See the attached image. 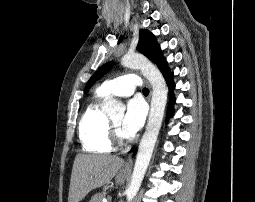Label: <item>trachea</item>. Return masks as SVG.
Here are the masks:
<instances>
[{
	"label": "trachea",
	"instance_id": "1",
	"mask_svg": "<svg viewBox=\"0 0 255 202\" xmlns=\"http://www.w3.org/2000/svg\"><path fill=\"white\" fill-rule=\"evenodd\" d=\"M143 93H144V94H148V93H149V89H148V88H144V89H143Z\"/></svg>",
	"mask_w": 255,
	"mask_h": 202
}]
</instances>
